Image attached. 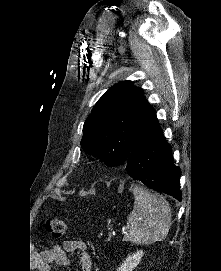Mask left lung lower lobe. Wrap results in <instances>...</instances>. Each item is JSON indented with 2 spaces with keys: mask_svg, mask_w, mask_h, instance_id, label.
<instances>
[{
  "mask_svg": "<svg viewBox=\"0 0 221 271\" xmlns=\"http://www.w3.org/2000/svg\"><path fill=\"white\" fill-rule=\"evenodd\" d=\"M127 173L159 192L182 200L180 168L173 164L172 148L158 126L130 152Z\"/></svg>",
  "mask_w": 221,
  "mask_h": 271,
  "instance_id": "1",
  "label": "left lung lower lobe"
}]
</instances>
